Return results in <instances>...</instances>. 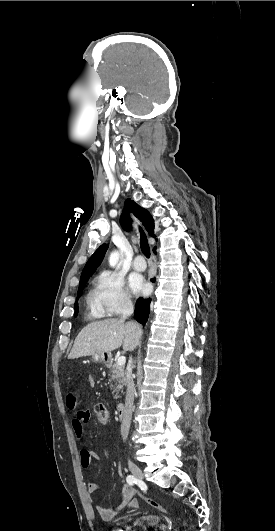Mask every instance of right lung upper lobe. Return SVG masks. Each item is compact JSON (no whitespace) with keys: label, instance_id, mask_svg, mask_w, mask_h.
<instances>
[{"label":"right lung upper lobe","instance_id":"obj_1","mask_svg":"<svg viewBox=\"0 0 275 531\" xmlns=\"http://www.w3.org/2000/svg\"><path fill=\"white\" fill-rule=\"evenodd\" d=\"M129 213H132L144 226L145 230L149 235L155 237L154 235V220L151 214L144 208L140 207L133 200L127 199L124 205V211L120 218V223L125 230L131 229V218ZM108 249V244H102L94 254L87 261L80 278V284L86 282L90 275L96 270L103 260L104 254Z\"/></svg>","mask_w":275,"mask_h":531}]
</instances>
